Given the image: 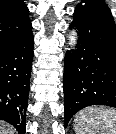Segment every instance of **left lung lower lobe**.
Masks as SVG:
<instances>
[{"mask_svg": "<svg viewBox=\"0 0 116 134\" xmlns=\"http://www.w3.org/2000/svg\"><path fill=\"white\" fill-rule=\"evenodd\" d=\"M70 28L78 31L75 50L64 61L65 127L79 110L93 105L116 108V26L110 13L75 9Z\"/></svg>", "mask_w": 116, "mask_h": 134, "instance_id": "1", "label": "left lung lower lobe"}]
</instances>
